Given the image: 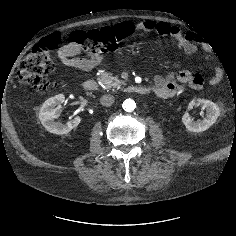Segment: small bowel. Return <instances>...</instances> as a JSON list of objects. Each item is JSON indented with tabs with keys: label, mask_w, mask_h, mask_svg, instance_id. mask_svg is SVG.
Wrapping results in <instances>:
<instances>
[{
	"label": "small bowel",
	"mask_w": 236,
	"mask_h": 236,
	"mask_svg": "<svg viewBox=\"0 0 236 236\" xmlns=\"http://www.w3.org/2000/svg\"><path fill=\"white\" fill-rule=\"evenodd\" d=\"M134 30L153 32L159 36H169L176 41L178 49L187 58H193L198 53L197 35L193 32L185 33L176 26L163 21L146 20L138 23H131ZM81 47L75 43H67L60 46L57 55L61 62L68 66L84 72H89L97 68L103 61L102 53L92 54L85 58L80 57ZM222 80L221 70H216L210 80V84L215 86ZM182 84L188 85L193 90H200L204 86L203 77L196 72L182 70L178 73L158 74L154 78L153 91L161 98H170L178 95L182 91Z\"/></svg>",
	"instance_id": "small-bowel-1"
}]
</instances>
